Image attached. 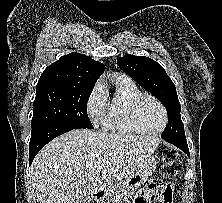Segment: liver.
Returning <instances> with one entry per match:
<instances>
[{
    "label": "liver",
    "mask_w": 222,
    "mask_h": 203,
    "mask_svg": "<svg viewBox=\"0 0 222 203\" xmlns=\"http://www.w3.org/2000/svg\"><path fill=\"white\" fill-rule=\"evenodd\" d=\"M159 138L75 129L52 140L36 155L31 177L37 203H81L103 190L109 195L139 169Z\"/></svg>",
    "instance_id": "obj_1"
}]
</instances>
